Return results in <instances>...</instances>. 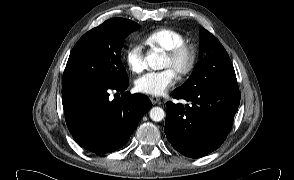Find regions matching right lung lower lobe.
<instances>
[{"label":"right lung lower lobe","instance_id":"obj_1","mask_svg":"<svg viewBox=\"0 0 294 180\" xmlns=\"http://www.w3.org/2000/svg\"><path fill=\"white\" fill-rule=\"evenodd\" d=\"M128 85L80 82L62 87L66 124L86 150L102 154L121 148L151 108L147 96L124 93ZM110 90L120 92L122 97L109 99Z\"/></svg>","mask_w":294,"mask_h":180}]
</instances>
